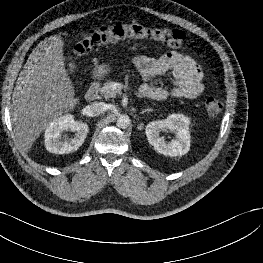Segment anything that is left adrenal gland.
I'll return each mask as SVG.
<instances>
[{"mask_svg": "<svg viewBox=\"0 0 263 263\" xmlns=\"http://www.w3.org/2000/svg\"><path fill=\"white\" fill-rule=\"evenodd\" d=\"M147 111H152L151 109H145L144 111H142L141 113L143 114V113H145V112H147Z\"/></svg>", "mask_w": 263, "mask_h": 263, "instance_id": "a2214340", "label": "left adrenal gland"}]
</instances>
